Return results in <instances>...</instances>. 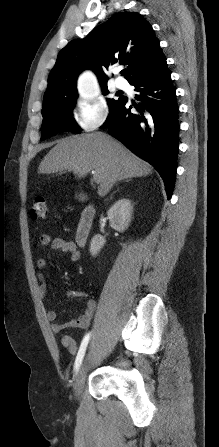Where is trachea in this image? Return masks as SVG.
I'll return each instance as SVG.
<instances>
[{"label":"trachea","mask_w":219,"mask_h":447,"mask_svg":"<svg viewBox=\"0 0 219 447\" xmlns=\"http://www.w3.org/2000/svg\"><path fill=\"white\" fill-rule=\"evenodd\" d=\"M126 70H122V73L125 72Z\"/></svg>","instance_id":"obj_1"}]
</instances>
